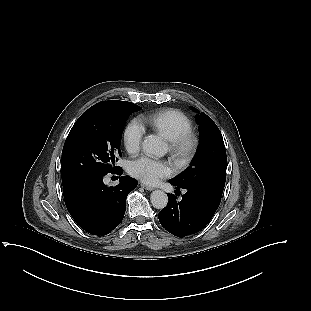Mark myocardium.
<instances>
[{"label":"myocardium","mask_w":311,"mask_h":311,"mask_svg":"<svg viewBox=\"0 0 311 311\" xmlns=\"http://www.w3.org/2000/svg\"><path fill=\"white\" fill-rule=\"evenodd\" d=\"M195 146L196 139L191 132L180 134L169 144L171 155L178 163L187 162L193 155Z\"/></svg>","instance_id":"obj_1"}]
</instances>
